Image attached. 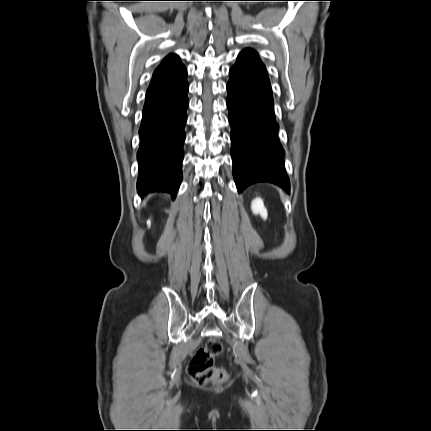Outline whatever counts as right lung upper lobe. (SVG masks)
<instances>
[{"label":"right lung upper lobe","mask_w":431,"mask_h":431,"mask_svg":"<svg viewBox=\"0 0 431 431\" xmlns=\"http://www.w3.org/2000/svg\"><path fill=\"white\" fill-rule=\"evenodd\" d=\"M184 76H186V69L180 62L179 57L173 54L168 55L153 73L146 97L167 89Z\"/></svg>","instance_id":"cb5924a9"}]
</instances>
